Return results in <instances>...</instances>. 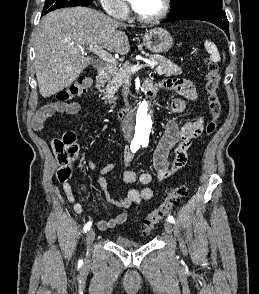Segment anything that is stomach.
I'll return each mask as SVG.
<instances>
[{"label": "stomach", "instance_id": "0dacf381", "mask_svg": "<svg viewBox=\"0 0 259 294\" xmlns=\"http://www.w3.org/2000/svg\"><path fill=\"white\" fill-rule=\"evenodd\" d=\"M144 46L155 54L168 52L173 46V38L170 33L163 28H154L143 36Z\"/></svg>", "mask_w": 259, "mask_h": 294}]
</instances>
